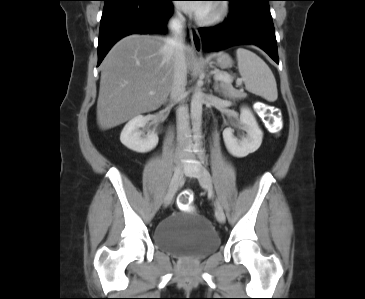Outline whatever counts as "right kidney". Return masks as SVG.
I'll use <instances>...</instances> for the list:
<instances>
[{
    "instance_id": "1",
    "label": "right kidney",
    "mask_w": 365,
    "mask_h": 299,
    "mask_svg": "<svg viewBox=\"0 0 365 299\" xmlns=\"http://www.w3.org/2000/svg\"><path fill=\"white\" fill-rule=\"evenodd\" d=\"M149 120V116L144 117L142 115L131 119L121 132V143L138 153H146L154 149L158 144V135L155 132L143 135V132L140 131V128L144 127Z\"/></svg>"
}]
</instances>
